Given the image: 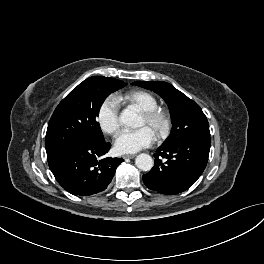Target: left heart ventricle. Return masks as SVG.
Listing matches in <instances>:
<instances>
[{"mask_svg":"<svg viewBox=\"0 0 264 264\" xmlns=\"http://www.w3.org/2000/svg\"><path fill=\"white\" fill-rule=\"evenodd\" d=\"M139 126L140 127H148L153 133H155L154 127L152 125H150L143 116H141V118H140Z\"/></svg>","mask_w":264,"mask_h":264,"instance_id":"1","label":"left heart ventricle"}]
</instances>
